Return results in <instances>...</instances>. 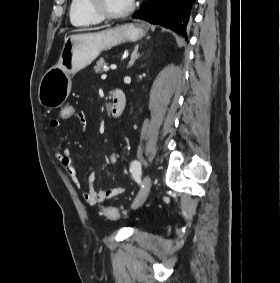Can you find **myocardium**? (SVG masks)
Segmentation results:
<instances>
[{
    "label": "myocardium",
    "instance_id": "obj_1",
    "mask_svg": "<svg viewBox=\"0 0 280 283\" xmlns=\"http://www.w3.org/2000/svg\"><path fill=\"white\" fill-rule=\"evenodd\" d=\"M91 10L103 20H116L127 17L134 9L135 2L131 0L129 7L120 13H112L107 10L103 0H88Z\"/></svg>",
    "mask_w": 280,
    "mask_h": 283
}]
</instances>
